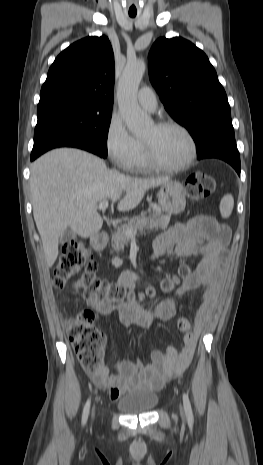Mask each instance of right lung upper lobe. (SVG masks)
I'll return each mask as SVG.
<instances>
[{
    "mask_svg": "<svg viewBox=\"0 0 263 465\" xmlns=\"http://www.w3.org/2000/svg\"><path fill=\"white\" fill-rule=\"evenodd\" d=\"M114 54L107 37H87L62 51L51 65L40 102L76 98L113 105Z\"/></svg>",
    "mask_w": 263,
    "mask_h": 465,
    "instance_id": "right-lung-upper-lobe-1",
    "label": "right lung upper lobe"
}]
</instances>
